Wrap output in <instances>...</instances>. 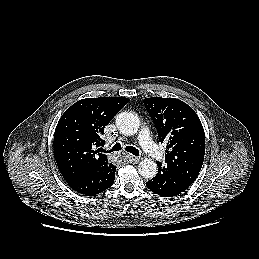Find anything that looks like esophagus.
<instances>
[{"label":"esophagus","instance_id":"esophagus-1","mask_svg":"<svg viewBox=\"0 0 259 259\" xmlns=\"http://www.w3.org/2000/svg\"><path fill=\"white\" fill-rule=\"evenodd\" d=\"M127 160L130 162V163H137V162H139V158L138 157H136V156H133V155H131V154H128L127 155Z\"/></svg>","mask_w":259,"mask_h":259}]
</instances>
